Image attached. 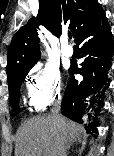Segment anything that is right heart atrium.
<instances>
[{
  "instance_id": "right-heart-atrium-1",
  "label": "right heart atrium",
  "mask_w": 114,
  "mask_h": 156,
  "mask_svg": "<svg viewBox=\"0 0 114 156\" xmlns=\"http://www.w3.org/2000/svg\"><path fill=\"white\" fill-rule=\"evenodd\" d=\"M26 91L30 106L42 111L62 97V83L57 69L35 65L26 78Z\"/></svg>"
}]
</instances>
